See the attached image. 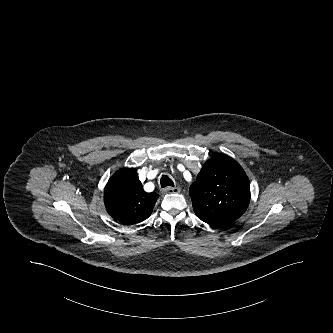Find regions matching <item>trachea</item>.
<instances>
[{
	"mask_svg": "<svg viewBox=\"0 0 333 333\" xmlns=\"http://www.w3.org/2000/svg\"><path fill=\"white\" fill-rule=\"evenodd\" d=\"M160 184H161L162 188L167 187V186L174 187L173 181L167 175H163L161 177Z\"/></svg>",
	"mask_w": 333,
	"mask_h": 333,
	"instance_id": "3493384b",
	"label": "trachea"
}]
</instances>
